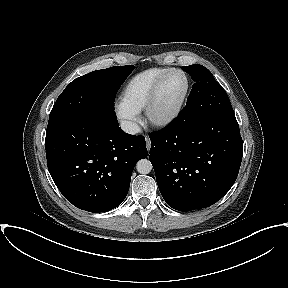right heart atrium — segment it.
Masks as SVG:
<instances>
[{"label":"right heart atrium","instance_id":"1","mask_svg":"<svg viewBox=\"0 0 288 288\" xmlns=\"http://www.w3.org/2000/svg\"><path fill=\"white\" fill-rule=\"evenodd\" d=\"M116 112L120 119L123 120H135L136 119V113L132 111L123 100L119 101V103L116 106Z\"/></svg>","mask_w":288,"mask_h":288}]
</instances>
